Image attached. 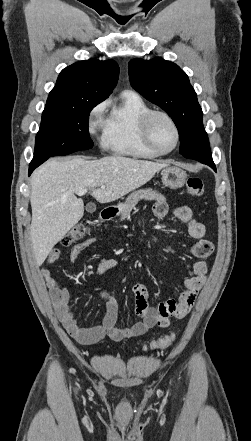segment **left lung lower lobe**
<instances>
[{"instance_id":"obj_1","label":"left lung lower lobe","mask_w":251,"mask_h":441,"mask_svg":"<svg viewBox=\"0 0 251 441\" xmlns=\"http://www.w3.org/2000/svg\"><path fill=\"white\" fill-rule=\"evenodd\" d=\"M190 141L192 144L191 150L195 154H197V155H192V157L196 158L201 163H205V164L209 165L214 170H216L215 164L212 160V154H211V150L209 147L207 133L205 132V130L203 129L202 131L196 133L193 136V139H191ZM196 159H194V160H196Z\"/></svg>"}]
</instances>
